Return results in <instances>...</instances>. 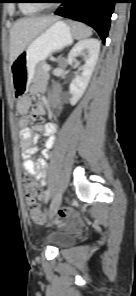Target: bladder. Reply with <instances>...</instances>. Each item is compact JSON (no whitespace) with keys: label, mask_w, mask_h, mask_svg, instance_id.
<instances>
[{"label":"bladder","mask_w":136,"mask_h":296,"mask_svg":"<svg viewBox=\"0 0 136 296\" xmlns=\"http://www.w3.org/2000/svg\"><path fill=\"white\" fill-rule=\"evenodd\" d=\"M71 240L72 236L66 232H53L46 242L56 247H61L70 244Z\"/></svg>","instance_id":"31cf9c89"}]
</instances>
